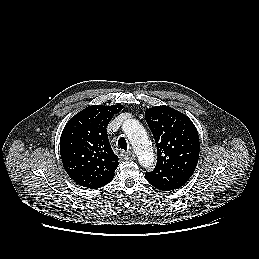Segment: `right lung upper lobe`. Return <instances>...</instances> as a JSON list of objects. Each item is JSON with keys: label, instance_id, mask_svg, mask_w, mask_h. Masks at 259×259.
<instances>
[{"label": "right lung upper lobe", "instance_id": "right-lung-upper-lobe-1", "mask_svg": "<svg viewBox=\"0 0 259 259\" xmlns=\"http://www.w3.org/2000/svg\"><path fill=\"white\" fill-rule=\"evenodd\" d=\"M122 108V105H92L64 127L61 159L67 174L78 185L96 189L113 179L119 158L110 146L106 127Z\"/></svg>", "mask_w": 259, "mask_h": 259}]
</instances>
